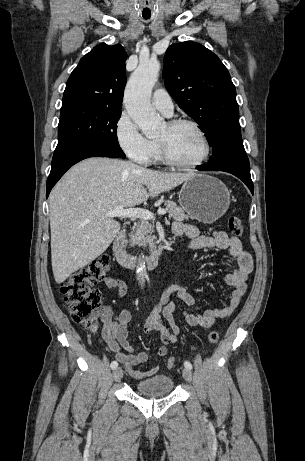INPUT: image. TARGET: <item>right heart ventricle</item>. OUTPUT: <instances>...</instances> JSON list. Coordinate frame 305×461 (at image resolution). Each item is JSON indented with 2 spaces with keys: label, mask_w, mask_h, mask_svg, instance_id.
I'll use <instances>...</instances> for the list:
<instances>
[{
  "label": "right heart ventricle",
  "mask_w": 305,
  "mask_h": 461,
  "mask_svg": "<svg viewBox=\"0 0 305 461\" xmlns=\"http://www.w3.org/2000/svg\"><path fill=\"white\" fill-rule=\"evenodd\" d=\"M163 161L162 157H161V153H160V149H159V145H158V142L156 141H153V150H152V157H151V161Z\"/></svg>",
  "instance_id": "obj_1"
}]
</instances>
